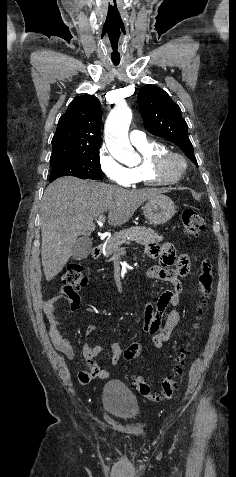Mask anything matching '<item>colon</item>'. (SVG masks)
<instances>
[{
	"instance_id": "colon-1",
	"label": "colon",
	"mask_w": 236,
	"mask_h": 477,
	"mask_svg": "<svg viewBox=\"0 0 236 477\" xmlns=\"http://www.w3.org/2000/svg\"><path fill=\"white\" fill-rule=\"evenodd\" d=\"M183 231L189 237L197 236L206 227L205 218L194 209H184L182 211ZM184 265L188 263V257L182 256ZM63 290L66 294L72 295L77 291L83 290L88 279L84 274L83 267L79 264H68L62 274ZM199 298L198 310L201 312L212 294L213 290V269L208 260H203L198 274ZM142 351V345L139 342L130 344L124 351L126 360L137 358ZM189 354V348H182L175 357V364L170 374L165 376L161 382L159 391H154L152 386L142 377L134 376L132 378L133 387L144 397L154 401L162 402L171 399L178 388V380L182 376L185 360Z\"/></svg>"
}]
</instances>
